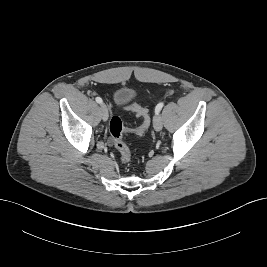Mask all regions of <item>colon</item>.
<instances>
[{"mask_svg": "<svg viewBox=\"0 0 267 267\" xmlns=\"http://www.w3.org/2000/svg\"><path fill=\"white\" fill-rule=\"evenodd\" d=\"M126 109L133 111L136 116L141 119V124L137 129L129 130L125 128L122 120L118 116H113L109 122L111 138L123 163H129L132 158L131 151L123 140L124 134L126 132H131L136 136H142L146 133L150 125V116L145 108L136 103H131L126 106Z\"/></svg>", "mask_w": 267, "mask_h": 267, "instance_id": "obj_1", "label": "colon"}]
</instances>
